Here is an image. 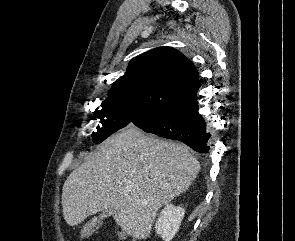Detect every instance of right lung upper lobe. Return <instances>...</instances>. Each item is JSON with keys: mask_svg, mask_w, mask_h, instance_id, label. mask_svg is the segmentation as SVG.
<instances>
[{"mask_svg": "<svg viewBox=\"0 0 295 241\" xmlns=\"http://www.w3.org/2000/svg\"><path fill=\"white\" fill-rule=\"evenodd\" d=\"M198 71L172 47H158L132 59L109 98L137 103L164 113L196 99Z\"/></svg>", "mask_w": 295, "mask_h": 241, "instance_id": "obj_1", "label": "right lung upper lobe"}]
</instances>
